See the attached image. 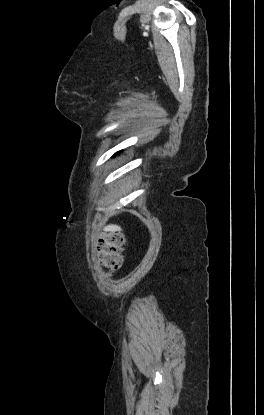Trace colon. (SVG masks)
Returning a JSON list of instances; mask_svg holds the SVG:
<instances>
[{"instance_id": "5ec220e1", "label": "colon", "mask_w": 264, "mask_h": 415, "mask_svg": "<svg viewBox=\"0 0 264 415\" xmlns=\"http://www.w3.org/2000/svg\"><path fill=\"white\" fill-rule=\"evenodd\" d=\"M123 244L124 236L121 232H108L98 239L97 251L102 265L107 271H114L121 266Z\"/></svg>"}]
</instances>
